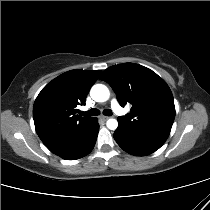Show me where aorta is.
I'll list each match as a JSON object with an SVG mask.
<instances>
[{"label": "aorta", "instance_id": "obj_1", "mask_svg": "<svg viewBox=\"0 0 210 210\" xmlns=\"http://www.w3.org/2000/svg\"><path fill=\"white\" fill-rule=\"evenodd\" d=\"M91 98L96 102H105L109 99V89L103 84H96L90 90ZM110 130H115L118 127L116 119H109L106 123Z\"/></svg>", "mask_w": 210, "mask_h": 210}]
</instances>
